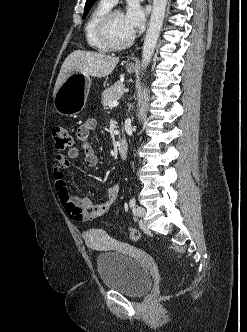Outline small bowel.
I'll return each instance as SVG.
<instances>
[{
  "instance_id": "obj_1",
  "label": "small bowel",
  "mask_w": 247,
  "mask_h": 332,
  "mask_svg": "<svg viewBox=\"0 0 247 332\" xmlns=\"http://www.w3.org/2000/svg\"><path fill=\"white\" fill-rule=\"evenodd\" d=\"M97 126L95 119H88L77 130L80 149L71 148L67 157L56 155L53 169V179L60 202L67 215L74 221L87 223L107 214L118 199L119 187L114 184L107 190V197L103 202L94 204L88 197L73 196L69 192L65 181V171L70 161L82 160L87 166L94 167L98 159L89 142L90 132Z\"/></svg>"
}]
</instances>
